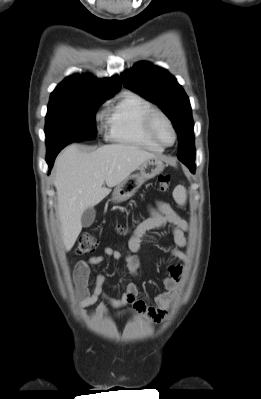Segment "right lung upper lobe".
Segmentation results:
<instances>
[{"instance_id": "cb5924a9", "label": "right lung upper lobe", "mask_w": 261, "mask_h": 399, "mask_svg": "<svg viewBox=\"0 0 261 399\" xmlns=\"http://www.w3.org/2000/svg\"><path fill=\"white\" fill-rule=\"evenodd\" d=\"M120 89L121 80L117 75L104 79H97L90 74L72 75L55 88L50 98H110Z\"/></svg>"}]
</instances>
